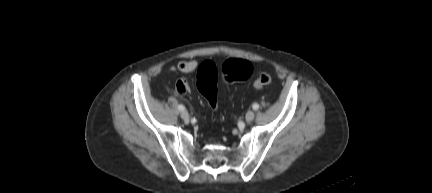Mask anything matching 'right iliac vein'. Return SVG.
Wrapping results in <instances>:
<instances>
[{"label":"right iliac vein","mask_w":432,"mask_h":193,"mask_svg":"<svg viewBox=\"0 0 432 193\" xmlns=\"http://www.w3.org/2000/svg\"><path fill=\"white\" fill-rule=\"evenodd\" d=\"M180 116H181V118H182L183 120H185V121H188V120H189V114H188L187 111H182L181 114H180Z\"/></svg>","instance_id":"63e3f726"}]
</instances>
